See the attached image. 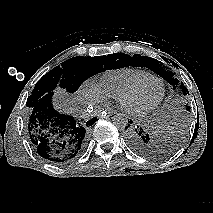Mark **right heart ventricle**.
Here are the masks:
<instances>
[{
  "instance_id": "e07e8e85",
  "label": "right heart ventricle",
  "mask_w": 213,
  "mask_h": 213,
  "mask_svg": "<svg viewBox=\"0 0 213 213\" xmlns=\"http://www.w3.org/2000/svg\"><path fill=\"white\" fill-rule=\"evenodd\" d=\"M151 76L147 70L124 67L104 72L95 85L104 98L118 99L138 81Z\"/></svg>"
}]
</instances>
